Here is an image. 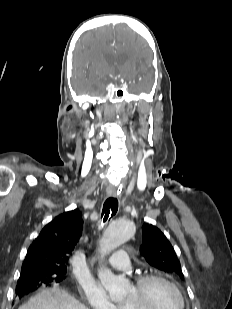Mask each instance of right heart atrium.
<instances>
[{"label":"right heart atrium","instance_id":"d8ad5b80","mask_svg":"<svg viewBox=\"0 0 232 309\" xmlns=\"http://www.w3.org/2000/svg\"><path fill=\"white\" fill-rule=\"evenodd\" d=\"M83 297L86 304L93 309H118L105 291L95 284L83 287Z\"/></svg>","mask_w":232,"mask_h":309}]
</instances>
